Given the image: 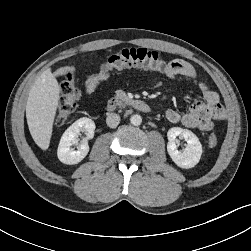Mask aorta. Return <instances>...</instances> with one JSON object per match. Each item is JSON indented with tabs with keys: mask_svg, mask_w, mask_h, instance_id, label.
Instances as JSON below:
<instances>
[{
	"mask_svg": "<svg viewBox=\"0 0 251 251\" xmlns=\"http://www.w3.org/2000/svg\"><path fill=\"white\" fill-rule=\"evenodd\" d=\"M130 122L134 126H139L142 123V117L138 114L132 115L130 118Z\"/></svg>",
	"mask_w": 251,
	"mask_h": 251,
	"instance_id": "aorta-1",
	"label": "aorta"
}]
</instances>
